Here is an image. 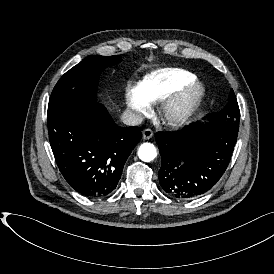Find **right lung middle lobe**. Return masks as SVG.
Here are the masks:
<instances>
[{
  "instance_id": "obj_1",
  "label": "right lung middle lobe",
  "mask_w": 274,
  "mask_h": 274,
  "mask_svg": "<svg viewBox=\"0 0 274 274\" xmlns=\"http://www.w3.org/2000/svg\"><path fill=\"white\" fill-rule=\"evenodd\" d=\"M120 61L119 56L91 55L67 71L51 93L48 116L68 106L95 102L100 71Z\"/></svg>"
}]
</instances>
